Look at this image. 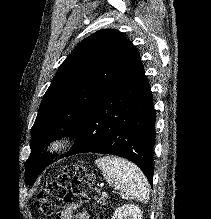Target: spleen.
Segmentation results:
<instances>
[{
	"mask_svg": "<svg viewBox=\"0 0 211 219\" xmlns=\"http://www.w3.org/2000/svg\"><path fill=\"white\" fill-rule=\"evenodd\" d=\"M95 163L107 182L119 191L123 199L148 202L149 184L136 165L115 156L98 158Z\"/></svg>",
	"mask_w": 211,
	"mask_h": 219,
	"instance_id": "obj_1",
	"label": "spleen"
}]
</instances>
